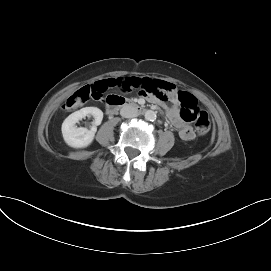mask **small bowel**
<instances>
[{"mask_svg":"<svg viewBox=\"0 0 271 271\" xmlns=\"http://www.w3.org/2000/svg\"><path fill=\"white\" fill-rule=\"evenodd\" d=\"M122 85L118 86V83ZM118 86L119 94H126L128 90L139 91L140 98H146L151 105H164L167 116L172 125L178 130L182 140L189 141L195 138V133L181 117L177 108L178 98L174 84L157 80L156 76H122L120 79H106L95 82L90 87L94 89H109ZM162 89H158V88ZM100 98V97H99ZM97 98V99H99Z\"/></svg>","mask_w":271,"mask_h":271,"instance_id":"c3829d8e","label":"small bowel"}]
</instances>
